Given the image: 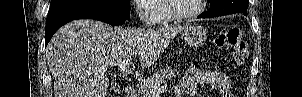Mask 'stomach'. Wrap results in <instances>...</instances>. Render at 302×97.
<instances>
[{
	"label": "stomach",
	"mask_w": 302,
	"mask_h": 97,
	"mask_svg": "<svg viewBox=\"0 0 302 97\" xmlns=\"http://www.w3.org/2000/svg\"><path fill=\"white\" fill-rule=\"evenodd\" d=\"M181 37L190 47H199L205 43L207 33L200 25L188 24L184 27Z\"/></svg>",
	"instance_id": "1"
}]
</instances>
